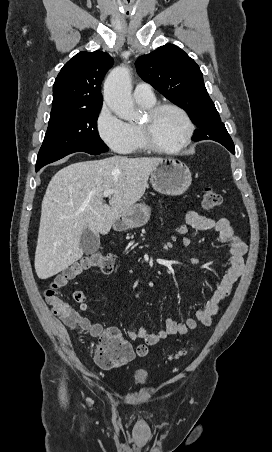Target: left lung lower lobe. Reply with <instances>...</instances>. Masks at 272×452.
I'll list each match as a JSON object with an SVG mask.
<instances>
[{
    "instance_id": "left-lung-lower-lobe-1",
    "label": "left lung lower lobe",
    "mask_w": 272,
    "mask_h": 452,
    "mask_svg": "<svg viewBox=\"0 0 272 452\" xmlns=\"http://www.w3.org/2000/svg\"><path fill=\"white\" fill-rule=\"evenodd\" d=\"M195 141V140H194ZM198 141V140H197ZM219 143H221L223 146H225L232 154L235 153V147H234V143L231 139V137L229 138H225L222 140L217 141Z\"/></svg>"
}]
</instances>
